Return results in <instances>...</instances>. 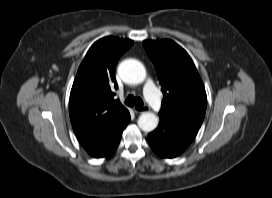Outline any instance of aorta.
<instances>
[{
	"label": "aorta",
	"mask_w": 272,
	"mask_h": 198,
	"mask_svg": "<svg viewBox=\"0 0 272 198\" xmlns=\"http://www.w3.org/2000/svg\"><path fill=\"white\" fill-rule=\"evenodd\" d=\"M118 74L127 83L139 84L146 78V70L143 64L135 59H127L118 67ZM138 126L142 131L151 132L158 126V118L155 114L145 112L138 119Z\"/></svg>",
	"instance_id": "aorta-1"
}]
</instances>
